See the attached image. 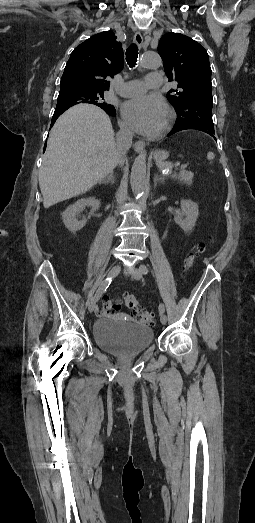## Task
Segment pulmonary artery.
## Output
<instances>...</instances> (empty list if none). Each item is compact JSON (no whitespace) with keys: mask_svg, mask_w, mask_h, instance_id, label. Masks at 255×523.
Listing matches in <instances>:
<instances>
[{"mask_svg":"<svg viewBox=\"0 0 255 523\" xmlns=\"http://www.w3.org/2000/svg\"><path fill=\"white\" fill-rule=\"evenodd\" d=\"M163 77L159 72H152L147 75L144 81L142 80H132L126 82L119 90L118 93L121 96L130 97L132 96L134 100L139 101L143 97V92H157L160 90Z\"/></svg>","mask_w":255,"mask_h":523,"instance_id":"1","label":"pulmonary artery"}]
</instances>
